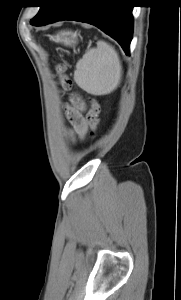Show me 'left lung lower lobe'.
Returning a JSON list of instances; mask_svg holds the SVG:
<instances>
[{"label":"left lung lower lobe","instance_id":"0a47b994","mask_svg":"<svg viewBox=\"0 0 181 300\" xmlns=\"http://www.w3.org/2000/svg\"><path fill=\"white\" fill-rule=\"evenodd\" d=\"M129 0H55L37 26L75 20L97 26L114 38L129 55L133 33V6Z\"/></svg>","mask_w":181,"mask_h":300}]
</instances>
